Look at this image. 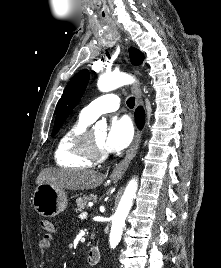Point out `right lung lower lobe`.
Returning <instances> with one entry per match:
<instances>
[{"instance_id": "1", "label": "right lung lower lobe", "mask_w": 221, "mask_h": 268, "mask_svg": "<svg viewBox=\"0 0 221 268\" xmlns=\"http://www.w3.org/2000/svg\"><path fill=\"white\" fill-rule=\"evenodd\" d=\"M135 121L139 129H141L144 125L145 121V114L143 108L139 107L137 108L135 112Z\"/></svg>"}]
</instances>
